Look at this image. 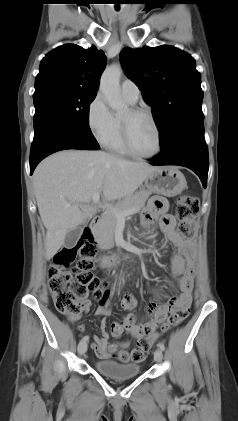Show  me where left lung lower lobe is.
<instances>
[{
	"mask_svg": "<svg viewBox=\"0 0 238 421\" xmlns=\"http://www.w3.org/2000/svg\"><path fill=\"white\" fill-rule=\"evenodd\" d=\"M151 165H180L193 170L206 188L209 168L208 148L204 138V121L187 124L164 146Z\"/></svg>",
	"mask_w": 238,
	"mask_h": 421,
	"instance_id": "obj_1",
	"label": "left lung lower lobe"
}]
</instances>
